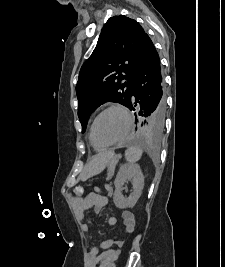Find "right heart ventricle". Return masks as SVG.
<instances>
[{
	"instance_id": "1",
	"label": "right heart ventricle",
	"mask_w": 225,
	"mask_h": 267,
	"mask_svg": "<svg viewBox=\"0 0 225 267\" xmlns=\"http://www.w3.org/2000/svg\"><path fill=\"white\" fill-rule=\"evenodd\" d=\"M88 138H89V141H90V143H91V145H92V147H93L94 149H96V150H102V149H104V148L99 147V146H96V145H94V144L92 143V141H91V137H90V129H89V132H88Z\"/></svg>"
}]
</instances>
